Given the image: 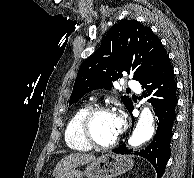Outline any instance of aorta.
Segmentation results:
<instances>
[{"label":"aorta","instance_id":"762f6f07","mask_svg":"<svg viewBox=\"0 0 194 178\" xmlns=\"http://www.w3.org/2000/svg\"><path fill=\"white\" fill-rule=\"evenodd\" d=\"M153 121L154 118L151 110L148 107H145L142 110L139 121L128 141L129 145L138 147L148 141L154 133Z\"/></svg>","mask_w":194,"mask_h":178}]
</instances>
